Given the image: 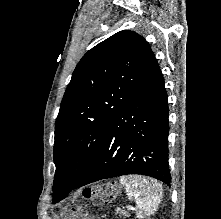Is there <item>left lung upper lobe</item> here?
Returning <instances> with one entry per match:
<instances>
[{"mask_svg": "<svg viewBox=\"0 0 221 219\" xmlns=\"http://www.w3.org/2000/svg\"><path fill=\"white\" fill-rule=\"evenodd\" d=\"M155 63L149 43L128 30L107 38L80 60L55 124V202L74 188L114 119L141 88Z\"/></svg>", "mask_w": 221, "mask_h": 219, "instance_id": "left-lung-upper-lobe-1", "label": "left lung upper lobe"}]
</instances>
